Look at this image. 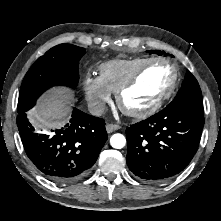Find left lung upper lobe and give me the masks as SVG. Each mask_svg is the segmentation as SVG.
Segmentation results:
<instances>
[{"instance_id": "5c2ea615", "label": "left lung upper lobe", "mask_w": 221, "mask_h": 221, "mask_svg": "<svg viewBox=\"0 0 221 221\" xmlns=\"http://www.w3.org/2000/svg\"><path fill=\"white\" fill-rule=\"evenodd\" d=\"M149 52L156 53L159 51L149 50ZM169 105L178 110H183L185 112L203 116L204 108L201 89L196 78L192 75L191 72H186L185 79L179 92Z\"/></svg>"}]
</instances>
